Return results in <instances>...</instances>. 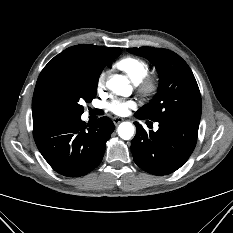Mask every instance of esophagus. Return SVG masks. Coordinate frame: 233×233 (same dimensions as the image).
<instances>
[{"label": "esophagus", "mask_w": 233, "mask_h": 233, "mask_svg": "<svg viewBox=\"0 0 233 233\" xmlns=\"http://www.w3.org/2000/svg\"><path fill=\"white\" fill-rule=\"evenodd\" d=\"M112 120H113V123H114L115 125H118L119 123H121V122L123 121V118H120V117H113Z\"/></svg>", "instance_id": "esophagus-1"}]
</instances>
